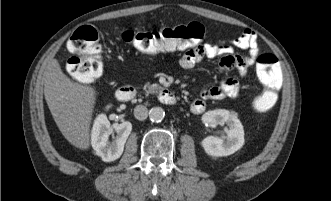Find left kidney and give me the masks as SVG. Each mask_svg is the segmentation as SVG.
<instances>
[{
  "label": "left kidney",
  "mask_w": 331,
  "mask_h": 201,
  "mask_svg": "<svg viewBox=\"0 0 331 201\" xmlns=\"http://www.w3.org/2000/svg\"><path fill=\"white\" fill-rule=\"evenodd\" d=\"M202 121L209 127L227 125V137L224 141L217 136H208L201 141L205 152L214 157L228 156L239 150L244 144V129L240 120L235 114L225 109H216L206 112Z\"/></svg>",
  "instance_id": "obj_1"
}]
</instances>
